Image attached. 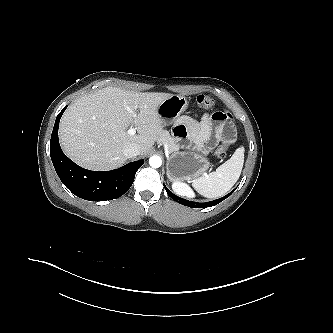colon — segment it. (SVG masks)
Wrapping results in <instances>:
<instances>
[{"instance_id":"obj_1","label":"colon","mask_w":333,"mask_h":333,"mask_svg":"<svg viewBox=\"0 0 333 333\" xmlns=\"http://www.w3.org/2000/svg\"><path fill=\"white\" fill-rule=\"evenodd\" d=\"M195 105L199 108L213 110L216 107V101L208 95H198L195 99ZM230 148V140L224 141L216 150V156L223 159L227 156Z\"/></svg>"}]
</instances>
